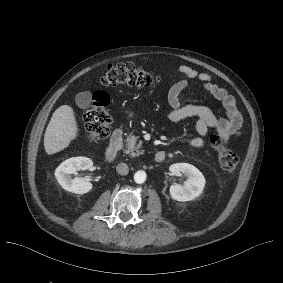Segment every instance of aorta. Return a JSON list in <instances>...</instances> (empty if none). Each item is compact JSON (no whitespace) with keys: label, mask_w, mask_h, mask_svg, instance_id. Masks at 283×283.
Returning a JSON list of instances; mask_svg holds the SVG:
<instances>
[{"label":"aorta","mask_w":283,"mask_h":283,"mask_svg":"<svg viewBox=\"0 0 283 283\" xmlns=\"http://www.w3.org/2000/svg\"><path fill=\"white\" fill-rule=\"evenodd\" d=\"M134 181L137 184H142L146 181V173L143 170H139L134 174Z\"/></svg>","instance_id":"obj_1"}]
</instances>
